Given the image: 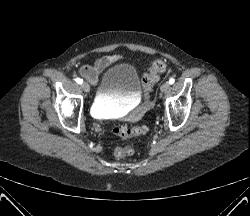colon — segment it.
<instances>
[{
    "instance_id": "obj_1",
    "label": "colon",
    "mask_w": 250,
    "mask_h": 216,
    "mask_svg": "<svg viewBox=\"0 0 250 216\" xmlns=\"http://www.w3.org/2000/svg\"><path fill=\"white\" fill-rule=\"evenodd\" d=\"M167 64L164 60H155L149 68L148 73L142 77V90L147 101H150V92L153 86L159 81L160 74L166 70ZM148 128L145 125L141 126H114L113 132L121 138H132L143 136L147 133ZM135 153L133 144H126L122 147H116L113 150V155L116 158H124Z\"/></svg>"
}]
</instances>
